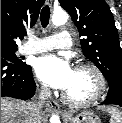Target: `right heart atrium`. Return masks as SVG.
<instances>
[{
	"instance_id": "right-heart-atrium-1",
	"label": "right heart atrium",
	"mask_w": 122,
	"mask_h": 123,
	"mask_svg": "<svg viewBox=\"0 0 122 123\" xmlns=\"http://www.w3.org/2000/svg\"><path fill=\"white\" fill-rule=\"evenodd\" d=\"M42 90H43V91H46V88L43 86V87H42Z\"/></svg>"
}]
</instances>
